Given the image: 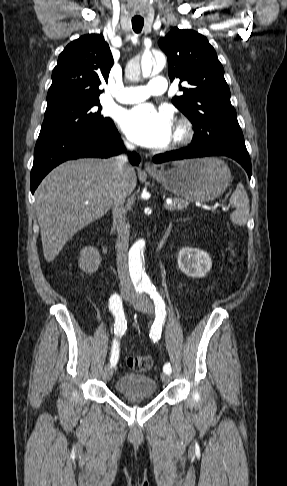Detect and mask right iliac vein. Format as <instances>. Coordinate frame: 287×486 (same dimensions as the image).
I'll use <instances>...</instances> for the list:
<instances>
[{"mask_svg": "<svg viewBox=\"0 0 287 486\" xmlns=\"http://www.w3.org/2000/svg\"><path fill=\"white\" fill-rule=\"evenodd\" d=\"M132 296V293L128 290L122 291V297L124 300H129ZM112 370L109 368V366H105L103 372H102V378L104 381H109L112 378Z\"/></svg>", "mask_w": 287, "mask_h": 486, "instance_id": "obj_1", "label": "right iliac vein"}]
</instances>
